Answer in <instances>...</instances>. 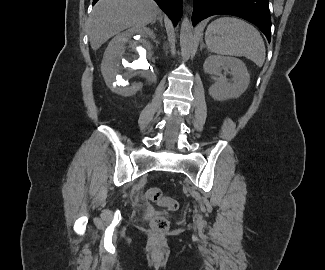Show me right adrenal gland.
<instances>
[{
  "label": "right adrenal gland",
  "instance_id": "2a0ac1e0",
  "mask_svg": "<svg viewBox=\"0 0 325 270\" xmlns=\"http://www.w3.org/2000/svg\"><path fill=\"white\" fill-rule=\"evenodd\" d=\"M156 21H159L160 24H161V26H163V21H162V17H161V15H158V17H157L155 20H153V21L151 22V24L156 23Z\"/></svg>",
  "mask_w": 325,
  "mask_h": 270
}]
</instances>
